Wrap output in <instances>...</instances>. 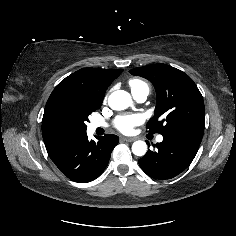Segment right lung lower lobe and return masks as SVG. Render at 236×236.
Returning a JSON list of instances; mask_svg holds the SVG:
<instances>
[{
  "mask_svg": "<svg viewBox=\"0 0 236 236\" xmlns=\"http://www.w3.org/2000/svg\"><path fill=\"white\" fill-rule=\"evenodd\" d=\"M89 141L85 134L57 148L49 157L58 169L72 181L87 183L96 179L106 168L119 137L112 134Z\"/></svg>",
  "mask_w": 236,
  "mask_h": 236,
  "instance_id": "98d812e1",
  "label": "right lung lower lobe"
}]
</instances>
